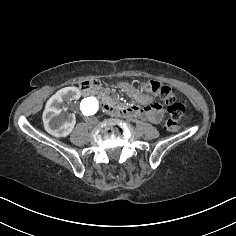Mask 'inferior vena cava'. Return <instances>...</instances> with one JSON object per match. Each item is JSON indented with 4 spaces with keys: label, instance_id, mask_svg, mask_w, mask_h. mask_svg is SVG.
<instances>
[{
    "label": "inferior vena cava",
    "instance_id": "1",
    "mask_svg": "<svg viewBox=\"0 0 236 236\" xmlns=\"http://www.w3.org/2000/svg\"><path fill=\"white\" fill-rule=\"evenodd\" d=\"M84 121L87 122L88 124H97L98 120L96 118L92 117H85Z\"/></svg>",
    "mask_w": 236,
    "mask_h": 236
}]
</instances>
